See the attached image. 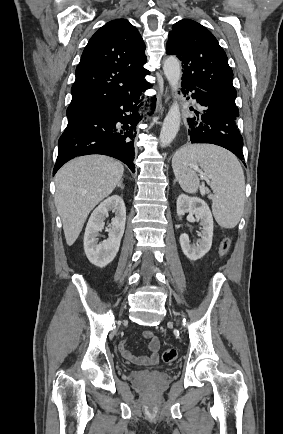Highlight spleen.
Listing matches in <instances>:
<instances>
[{
  "instance_id": "spleen-1",
  "label": "spleen",
  "mask_w": 283,
  "mask_h": 434,
  "mask_svg": "<svg viewBox=\"0 0 283 434\" xmlns=\"http://www.w3.org/2000/svg\"><path fill=\"white\" fill-rule=\"evenodd\" d=\"M196 164L211 179L215 220L223 228H234L243 214L245 200V178L240 162L232 153L215 145L196 144L179 149L172 159V167L185 192L198 190L199 179L192 169Z\"/></svg>"
}]
</instances>
